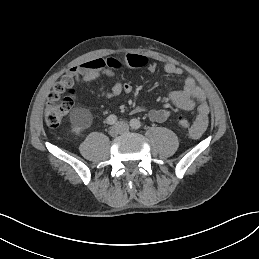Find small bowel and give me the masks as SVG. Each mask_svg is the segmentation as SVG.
Instances as JSON below:
<instances>
[{"instance_id": "c3829d8e", "label": "small bowel", "mask_w": 259, "mask_h": 259, "mask_svg": "<svg viewBox=\"0 0 259 259\" xmlns=\"http://www.w3.org/2000/svg\"><path fill=\"white\" fill-rule=\"evenodd\" d=\"M146 68L150 72H155L157 65L154 62H149L148 58L140 54H127L124 57L112 56L108 58H97L85 62L79 66L73 67L68 71V75L75 77L78 82H88L106 76L116 78L115 70L120 68ZM164 71L169 75L180 76L183 70L172 64L164 65ZM133 92V87L129 83H123L116 80L112 87L107 90L104 87L100 88L102 97L111 99L122 94L130 95ZM169 100L177 108L185 111H191L196 108L197 115L194 124L190 131L193 138H199L206 130L209 122V105L206 100L205 92L200 88L195 80L188 76L184 79L182 89L172 91L169 94ZM135 112H146L149 118L155 122H163L169 116V111L165 109H150L138 107Z\"/></svg>"}]
</instances>
